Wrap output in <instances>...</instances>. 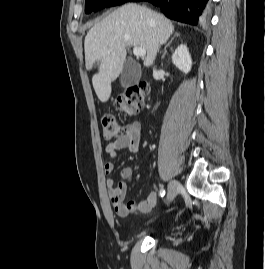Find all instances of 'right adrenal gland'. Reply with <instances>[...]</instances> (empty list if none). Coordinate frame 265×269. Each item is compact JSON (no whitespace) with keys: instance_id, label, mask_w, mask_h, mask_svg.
<instances>
[{"instance_id":"2a0ac1e0","label":"right adrenal gland","mask_w":265,"mask_h":269,"mask_svg":"<svg viewBox=\"0 0 265 269\" xmlns=\"http://www.w3.org/2000/svg\"><path fill=\"white\" fill-rule=\"evenodd\" d=\"M179 36H180V34H179L178 32H175L174 36H173V37L170 39V41L165 45V47H164V53H163V55H162L161 58H163V57L165 56L167 47H169V46L171 45V43L173 42V40H174L176 37H179Z\"/></svg>"}]
</instances>
